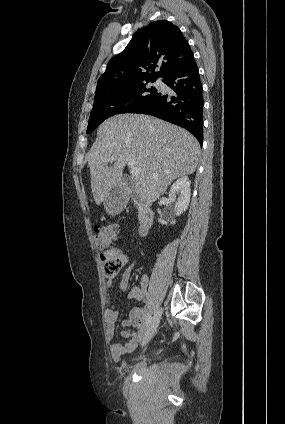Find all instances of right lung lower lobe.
<instances>
[{
    "label": "right lung lower lobe",
    "mask_w": 285,
    "mask_h": 424,
    "mask_svg": "<svg viewBox=\"0 0 285 424\" xmlns=\"http://www.w3.org/2000/svg\"><path fill=\"white\" fill-rule=\"evenodd\" d=\"M172 95L158 91L129 113L152 115L183 127L203 144V96L199 71L194 58L182 68L164 77Z\"/></svg>",
    "instance_id": "1"
}]
</instances>
